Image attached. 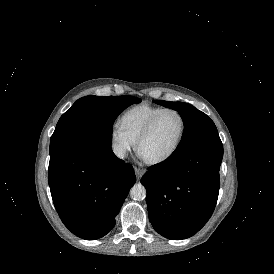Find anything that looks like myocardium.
I'll return each instance as SVG.
<instances>
[{"label":"myocardium","instance_id":"f54148a6","mask_svg":"<svg viewBox=\"0 0 274 274\" xmlns=\"http://www.w3.org/2000/svg\"><path fill=\"white\" fill-rule=\"evenodd\" d=\"M167 112H173L176 113L181 120V128H180V132L177 136V139L172 147V149L169 151L168 154H166L164 157L160 158V159H156V160H144V162L149 165V166H160L163 165L165 163H167L168 161H170L174 155L177 153L179 146L183 140L185 131H186V119L183 115V113L176 109V108H164L161 111H159L148 123L147 125L144 127V129L139 133V135L137 136L135 142H136V151L139 154V150H140V146L142 141L151 133V131L153 130V128L155 127V125L157 124V122L159 121V119L162 117V115H164Z\"/></svg>","mask_w":274,"mask_h":274}]
</instances>
